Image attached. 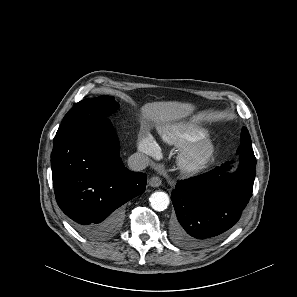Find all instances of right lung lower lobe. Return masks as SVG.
Masks as SVG:
<instances>
[{"instance_id":"1","label":"right lung lower lobe","mask_w":297,"mask_h":297,"mask_svg":"<svg viewBox=\"0 0 297 297\" xmlns=\"http://www.w3.org/2000/svg\"><path fill=\"white\" fill-rule=\"evenodd\" d=\"M51 167L60 209L87 238L106 240L122 225L123 205L142 194L147 175L127 169L111 124H94L53 140Z\"/></svg>"}]
</instances>
